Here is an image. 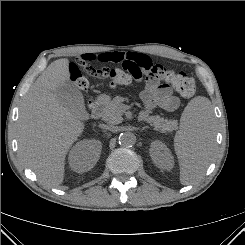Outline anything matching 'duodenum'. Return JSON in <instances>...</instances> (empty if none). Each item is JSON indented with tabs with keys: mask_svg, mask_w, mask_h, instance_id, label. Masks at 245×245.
Here are the masks:
<instances>
[{
	"mask_svg": "<svg viewBox=\"0 0 245 245\" xmlns=\"http://www.w3.org/2000/svg\"><path fill=\"white\" fill-rule=\"evenodd\" d=\"M106 104H107V101L105 98H103V97L98 98L94 102V104L91 108L92 117L95 119L100 118L102 116L104 110H105Z\"/></svg>",
	"mask_w": 245,
	"mask_h": 245,
	"instance_id": "obj_1",
	"label": "duodenum"
}]
</instances>
